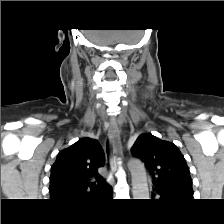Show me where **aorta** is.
<instances>
[{
	"label": "aorta",
	"instance_id": "1",
	"mask_svg": "<svg viewBox=\"0 0 224 224\" xmlns=\"http://www.w3.org/2000/svg\"><path fill=\"white\" fill-rule=\"evenodd\" d=\"M131 173L133 199H149V188L144 164L138 159L128 161Z\"/></svg>",
	"mask_w": 224,
	"mask_h": 224
}]
</instances>
